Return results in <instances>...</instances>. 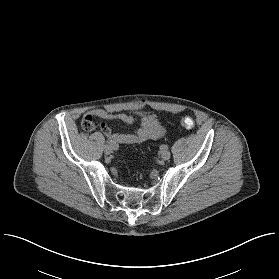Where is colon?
<instances>
[{"mask_svg":"<svg viewBox=\"0 0 279 279\" xmlns=\"http://www.w3.org/2000/svg\"><path fill=\"white\" fill-rule=\"evenodd\" d=\"M180 124L183 128L190 130L194 127V121L190 116H182L180 119ZM82 127L85 131H91L92 127L89 124H82Z\"/></svg>","mask_w":279,"mask_h":279,"instance_id":"1","label":"colon"}]
</instances>
